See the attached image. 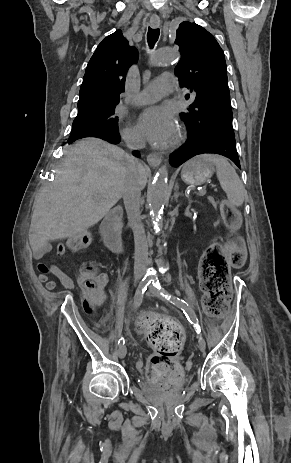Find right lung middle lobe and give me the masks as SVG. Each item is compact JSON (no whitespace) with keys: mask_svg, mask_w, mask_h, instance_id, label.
Masks as SVG:
<instances>
[{"mask_svg":"<svg viewBox=\"0 0 291 463\" xmlns=\"http://www.w3.org/2000/svg\"><path fill=\"white\" fill-rule=\"evenodd\" d=\"M116 131H118V117L115 116V106H111L91 114L76 117L73 121L69 140L94 133Z\"/></svg>","mask_w":291,"mask_h":463,"instance_id":"right-lung-middle-lobe-1","label":"right lung middle lobe"}]
</instances>
